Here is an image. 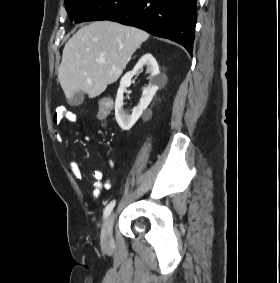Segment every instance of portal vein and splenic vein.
Instances as JSON below:
<instances>
[{"label": "portal vein and splenic vein", "mask_w": 280, "mask_h": 283, "mask_svg": "<svg viewBox=\"0 0 280 283\" xmlns=\"http://www.w3.org/2000/svg\"><path fill=\"white\" fill-rule=\"evenodd\" d=\"M99 62L102 63V64H104V63H105V60H100Z\"/></svg>", "instance_id": "1"}]
</instances>
